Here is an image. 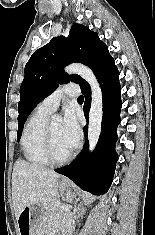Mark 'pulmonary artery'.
Wrapping results in <instances>:
<instances>
[{"instance_id":"obj_1","label":"pulmonary artery","mask_w":155,"mask_h":235,"mask_svg":"<svg viewBox=\"0 0 155 235\" xmlns=\"http://www.w3.org/2000/svg\"><path fill=\"white\" fill-rule=\"evenodd\" d=\"M79 93H80V90L77 85L75 84L64 85L58 88L57 90H55L52 94L47 96L44 100H42L39 103L38 108L41 111L52 113L58 108L61 100L64 97H76L79 95Z\"/></svg>"}]
</instances>
